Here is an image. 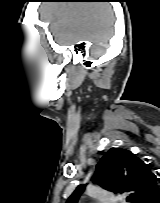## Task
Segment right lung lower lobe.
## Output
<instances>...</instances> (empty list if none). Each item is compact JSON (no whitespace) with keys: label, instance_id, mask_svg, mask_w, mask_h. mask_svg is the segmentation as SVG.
<instances>
[{"label":"right lung lower lobe","instance_id":"98d812e1","mask_svg":"<svg viewBox=\"0 0 160 203\" xmlns=\"http://www.w3.org/2000/svg\"><path fill=\"white\" fill-rule=\"evenodd\" d=\"M147 203H160V192L151 198Z\"/></svg>","mask_w":160,"mask_h":203}]
</instances>
